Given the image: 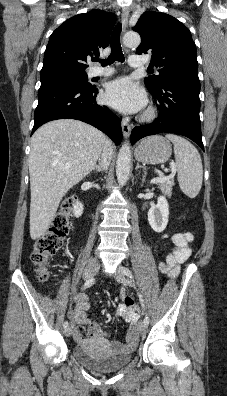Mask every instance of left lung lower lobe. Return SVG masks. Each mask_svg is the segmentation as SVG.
Instances as JSON below:
<instances>
[{"label": "left lung lower lobe", "mask_w": 227, "mask_h": 396, "mask_svg": "<svg viewBox=\"0 0 227 396\" xmlns=\"http://www.w3.org/2000/svg\"><path fill=\"white\" fill-rule=\"evenodd\" d=\"M158 103V118L151 124L132 130L131 143L158 133H175L186 136L204 150L200 125V83L171 81L161 88L149 90Z\"/></svg>", "instance_id": "obj_1"}]
</instances>
